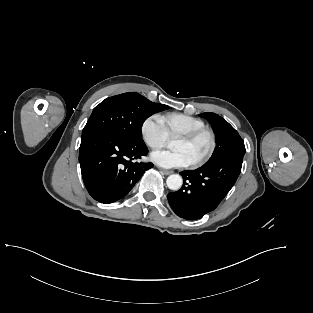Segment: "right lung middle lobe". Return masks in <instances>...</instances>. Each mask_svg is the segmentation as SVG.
<instances>
[{
  "instance_id": "right-lung-middle-lobe-1",
  "label": "right lung middle lobe",
  "mask_w": 313,
  "mask_h": 313,
  "mask_svg": "<svg viewBox=\"0 0 313 313\" xmlns=\"http://www.w3.org/2000/svg\"><path fill=\"white\" fill-rule=\"evenodd\" d=\"M167 108V105L153 103L135 92L107 98L94 108L82 137L96 131H107L129 141L142 142L143 122Z\"/></svg>"
}]
</instances>
